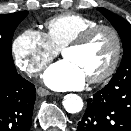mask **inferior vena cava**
Returning a JSON list of instances; mask_svg holds the SVG:
<instances>
[{
  "mask_svg": "<svg viewBox=\"0 0 131 131\" xmlns=\"http://www.w3.org/2000/svg\"><path fill=\"white\" fill-rule=\"evenodd\" d=\"M35 71H36V69H28L29 73H32V72H35Z\"/></svg>",
  "mask_w": 131,
  "mask_h": 131,
  "instance_id": "602c4592",
  "label": "inferior vena cava"
}]
</instances>
